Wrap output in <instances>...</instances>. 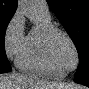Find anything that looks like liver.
Here are the masks:
<instances>
[{"label": "liver", "instance_id": "1", "mask_svg": "<svg viewBox=\"0 0 89 89\" xmlns=\"http://www.w3.org/2000/svg\"><path fill=\"white\" fill-rule=\"evenodd\" d=\"M60 84L48 83L39 78L23 74H4L0 76V89H59ZM68 89H81L69 86Z\"/></svg>", "mask_w": 89, "mask_h": 89}]
</instances>
